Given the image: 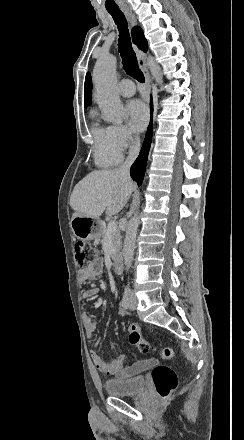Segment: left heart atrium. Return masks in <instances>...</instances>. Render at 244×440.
I'll return each instance as SVG.
<instances>
[{"instance_id": "left-heart-atrium-1", "label": "left heart atrium", "mask_w": 244, "mask_h": 440, "mask_svg": "<svg viewBox=\"0 0 244 440\" xmlns=\"http://www.w3.org/2000/svg\"><path fill=\"white\" fill-rule=\"evenodd\" d=\"M127 111L130 125L134 129L142 131L146 127L149 118L146 105L140 100H132L128 103Z\"/></svg>"}]
</instances>
